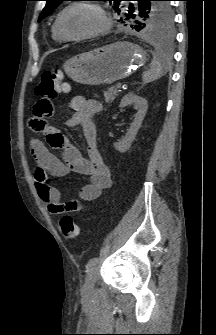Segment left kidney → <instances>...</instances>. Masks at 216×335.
Instances as JSON below:
<instances>
[{"label":"left kidney","mask_w":216,"mask_h":335,"mask_svg":"<svg viewBox=\"0 0 216 335\" xmlns=\"http://www.w3.org/2000/svg\"><path fill=\"white\" fill-rule=\"evenodd\" d=\"M131 104H133L134 108L137 109L135 118L131 123L128 132L126 133V136L121 141L113 144L114 148L121 153L126 152L131 147V144L135 140L136 134L141 127L148 108L147 100L135 95L134 93H128L125 95L122 98L119 107L122 108Z\"/></svg>","instance_id":"5707ae66"}]
</instances>
